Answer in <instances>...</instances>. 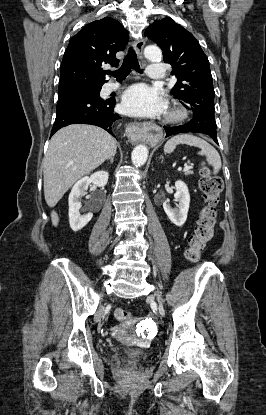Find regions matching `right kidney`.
Instances as JSON below:
<instances>
[{"label": "right kidney", "instance_id": "obj_1", "mask_svg": "<svg viewBox=\"0 0 266 415\" xmlns=\"http://www.w3.org/2000/svg\"><path fill=\"white\" fill-rule=\"evenodd\" d=\"M108 176V172L98 171L90 177H83L73 186L68 199L69 223L73 231L76 232L81 230L93 217L91 212L85 215H81L79 212L81 208V198L88 189V186L93 183L95 186L104 187L108 182Z\"/></svg>", "mask_w": 266, "mask_h": 415}]
</instances>
